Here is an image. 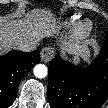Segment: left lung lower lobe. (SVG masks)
<instances>
[{"label": "left lung lower lobe", "mask_w": 108, "mask_h": 108, "mask_svg": "<svg viewBox=\"0 0 108 108\" xmlns=\"http://www.w3.org/2000/svg\"><path fill=\"white\" fill-rule=\"evenodd\" d=\"M47 96L51 108H100L108 99V36L86 68L55 57L49 64Z\"/></svg>", "instance_id": "1"}]
</instances>
